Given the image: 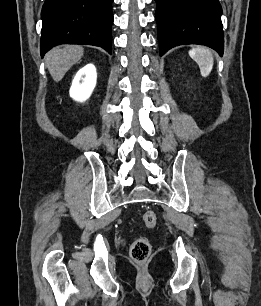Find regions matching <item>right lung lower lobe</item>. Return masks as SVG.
<instances>
[{
  "label": "right lung lower lobe",
  "instance_id": "98d812e1",
  "mask_svg": "<svg viewBox=\"0 0 261 306\" xmlns=\"http://www.w3.org/2000/svg\"><path fill=\"white\" fill-rule=\"evenodd\" d=\"M113 0H45L40 52L58 44H88L111 54Z\"/></svg>",
  "mask_w": 261,
  "mask_h": 306
}]
</instances>
